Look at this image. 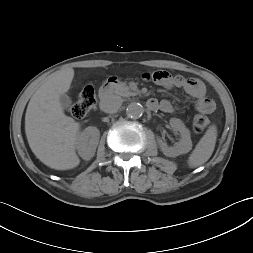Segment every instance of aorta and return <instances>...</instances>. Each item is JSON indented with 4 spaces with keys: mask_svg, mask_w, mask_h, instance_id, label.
<instances>
[{
    "mask_svg": "<svg viewBox=\"0 0 253 253\" xmlns=\"http://www.w3.org/2000/svg\"><path fill=\"white\" fill-rule=\"evenodd\" d=\"M144 113V107L138 102H131L126 108V114L132 119L140 118Z\"/></svg>",
    "mask_w": 253,
    "mask_h": 253,
    "instance_id": "aorta-1",
    "label": "aorta"
}]
</instances>
